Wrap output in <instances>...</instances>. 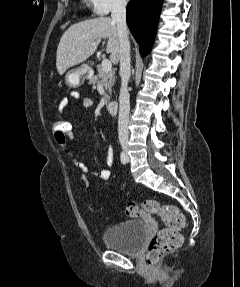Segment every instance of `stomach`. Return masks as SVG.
Returning <instances> with one entry per match:
<instances>
[{
    "label": "stomach",
    "mask_w": 240,
    "mask_h": 287,
    "mask_svg": "<svg viewBox=\"0 0 240 287\" xmlns=\"http://www.w3.org/2000/svg\"><path fill=\"white\" fill-rule=\"evenodd\" d=\"M90 72L91 70L87 65L72 69L66 74V83L70 87H78L89 77Z\"/></svg>",
    "instance_id": "stomach-1"
}]
</instances>
